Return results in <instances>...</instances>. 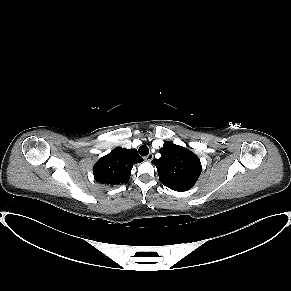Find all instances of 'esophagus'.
I'll use <instances>...</instances> for the list:
<instances>
[{
  "label": "esophagus",
  "mask_w": 291,
  "mask_h": 291,
  "mask_svg": "<svg viewBox=\"0 0 291 291\" xmlns=\"http://www.w3.org/2000/svg\"><path fill=\"white\" fill-rule=\"evenodd\" d=\"M153 157H154L153 154L152 153H149L147 156L144 157V159L146 161H151L153 159Z\"/></svg>",
  "instance_id": "obj_1"
}]
</instances>
